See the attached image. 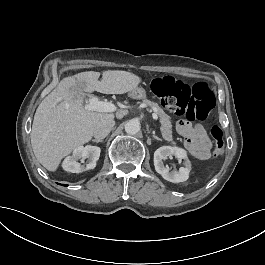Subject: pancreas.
Listing matches in <instances>:
<instances>
[{
	"instance_id": "1",
	"label": "pancreas",
	"mask_w": 265,
	"mask_h": 265,
	"mask_svg": "<svg viewBox=\"0 0 265 265\" xmlns=\"http://www.w3.org/2000/svg\"><path fill=\"white\" fill-rule=\"evenodd\" d=\"M143 103L157 110V115L161 123L160 132L162 134V138L167 143L171 145H176L177 143L173 140V137H172V125H171L170 117L167 114H165L164 111L156 103H153L152 101L148 99H144Z\"/></svg>"
}]
</instances>
